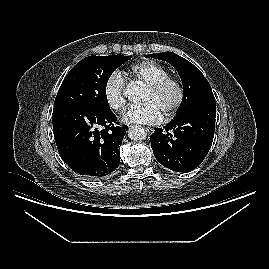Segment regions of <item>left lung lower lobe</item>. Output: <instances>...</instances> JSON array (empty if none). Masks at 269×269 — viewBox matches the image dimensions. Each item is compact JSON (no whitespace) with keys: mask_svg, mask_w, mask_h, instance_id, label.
Here are the masks:
<instances>
[{"mask_svg":"<svg viewBox=\"0 0 269 269\" xmlns=\"http://www.w3.org/2000/svg\"><path fill=\"white\" fill-rule=\"evenodd\" d=\"M215 117L216 103H203L165 129L157 128L150 137L155 158L173 171L194 170L211 148Z\"/></svg>","mask_w":269,"mask_h":269,"instance_id":"0a47b994","label":"left lung lower lobe"}]
</instances>
